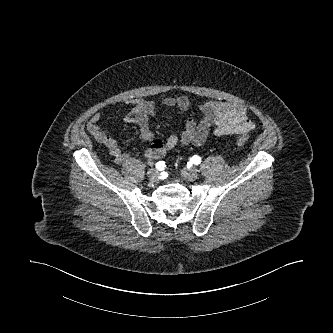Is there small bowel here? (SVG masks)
Returning a JSON list of instances; mask_svg holds the SVG:
<instances>
[{
	"instance_id": "obj_1",
	"label": "small bowel",
	"mask_w": 333,
	"mask_h": 333,
	"mask_svg": "<svg viewBox=\"0 0 333 333\" xmlns=\"http://www.w3.org/2000/svg\"><path fill=\"white\" fill-rule=\"evenodd\" d=\"M128 104L131 109L124 120L138 126L142 140L151 141V145L145 150V156L150 160L160 159L178 144L202 145L210 133L216 136L246 135L255 128V123L247 116L246 108L240 104L227 101H205L195 104L188 97L179 95L165 98L163 105L180 110L195 107L201 112V118L186 120L180 135L172 133L167 137L154 138L149 119L156 113L155 103L152 100L136 98ZM101 121L102 114L94 113L87 123V131L108 148L116 163L126 162L131 153L123 150L118 140L101 127Z\"/></svg>"
}]
</instances>
